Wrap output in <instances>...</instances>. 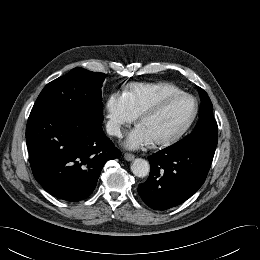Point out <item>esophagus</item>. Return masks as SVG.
<instances>
[{
    "instance_id": "34e87169",
    "label": "esophagus",
    "mask_w": 260,
    "mask_h": 260,
    "mask_svg": "<svg viewBox=\"0 0 260 260\" xmlns=\"http://www.w3.org/2000/svg\"><path fill=\"white\" fill-rule=\"evenodd\" d=\"M124 158H125V160H127V161H132V160H134L135 155H133V154H131V153H125V154H124Z\"/></svg>"
}]
</instances>
